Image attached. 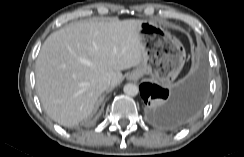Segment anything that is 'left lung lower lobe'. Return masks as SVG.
<instances>
[{"instance_id":"left-lung-lower-lobe-1","label":"left lung lower lobe","mask_w":244,"mask_h":157,"mask_svg":"<svg viewBox=\"0 0 244 157\" xmlns=\"http://www.w3.org/2000/svg\"><path fill=\"white\" fill-rule=\"evenodd\" d=\"M140 93L149 117L158 125L178 129L201 110L206 96V72L201 65L193 74L172 89L143 83Z\"/></svg>"}]
</instances>
